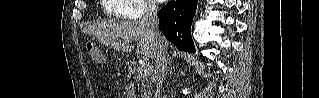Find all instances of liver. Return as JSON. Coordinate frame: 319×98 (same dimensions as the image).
Wrapping results in <instances>:
<instances>
[{"label":"liver","mask_w":319,"mask_h":98,"mask_svg":"<svg viewBox=\"0 0 319 98\" xmlns=\"http://www.w3.org/2000/svg\"><path fill=\"white\" fill-rule=\"evenodd\" d=\"M86 33L94 35L99 43L113 49L129 52L134 46L132 40H139L136 52L144 57L155 59L156 41L148 32L142 21L101 22L85 29ZM129 39V40H127ZM169 43L166 41V46Z\"/></svg>","instance_id":"1"}]
</instances>
